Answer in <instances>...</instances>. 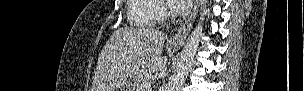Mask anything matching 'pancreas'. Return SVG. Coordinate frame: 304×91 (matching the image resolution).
Here are the masks:
<instances>
[{"label": "pancreas", "instance_id": "1", "mask_svg": "<svg viewBox=\"0 0 304 91\" xmlns=\"http://www.w3.org/2000/svg\"><path fill=\"white\" fill-rule=\"evenodd\" d=\"M152 75L151 74H139L134 78V86L136 91L142 90V84L151 82Z\"/></svg>", "mask_w": 304, "mask_h": 91}]
</instances>
